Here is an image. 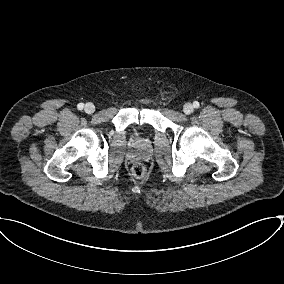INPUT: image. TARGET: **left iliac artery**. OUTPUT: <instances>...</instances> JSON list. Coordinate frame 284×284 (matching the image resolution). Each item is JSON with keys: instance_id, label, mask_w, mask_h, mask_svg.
I'll return each mask as SVG.
<instances>
[{"instance_id": "1", "label": "left iliac artery", "mask_w": 284, "mask_h": 284, "mask_svg": "<svg viewBox=\"0 0 284 284\" xmlns=\"http://www.w3.org/2000/svg\"><path fill=\"white\" fill-rule=\"evenodd\" d=\"M194 108H199L200 104L198 101L193 102Z\"/></svg>"}]
</instances>
